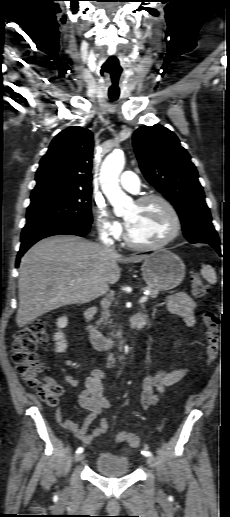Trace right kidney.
Here are the masks:
<instances>
[{"instance_id":"1","label":"right kidney","mask_w":230,"mask_h":517,"mask_svg":"<svg viewBox=\"0 0 230 517\" xmlns=\"http://www.w3.org/2000/svg\"><path fill=\"white\" fill-rule=\"evenodd\" d=\"M67 324H68L67 317L58 318L57 327L59 329L65 328L67 326ZM54 340L56 341V350L55 351L58 353L65 352V350L67 348V343H66V340L64 338V334L62 333V331H59L54 335Z\"/></svg>"}]
</instances>
